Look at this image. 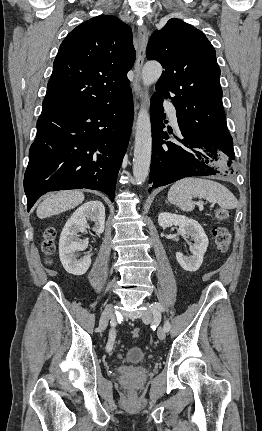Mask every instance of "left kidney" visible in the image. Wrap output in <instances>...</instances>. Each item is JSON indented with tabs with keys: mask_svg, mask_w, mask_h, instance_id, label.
I'll use <instances>...</instances> for the list:
<instances>
[{
	"mask_svg": "<svg viewBox=\"0 0 262 431\" xmlns=\"http://www.w3.org/2000/svg\"><path fill=\"white\" fill-rule=\"evenodd\" d=\"M158 223L164 228L179 226L181 234L191 236L194 241L192 256H184L181 252H176V259L184 270L197 271L203 262V256L209 244L208 237L201 225L194 219L167 212L159 214Z\"/></svg>",
	"mask_w": 262,
	"mask_h": 431,
	"instance_id": "obj_1",
	"label": "left kidney"
}]
</instances>
